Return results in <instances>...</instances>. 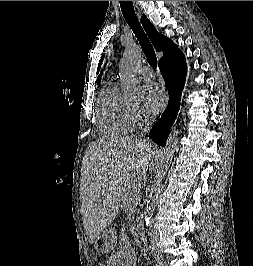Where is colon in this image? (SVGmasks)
<instances>
[{
	"label": "colon",
	"instance_id": "5ec220e1",
	"mask_svg": "<svg viewBox=\"0 0 253 266\" xmlns=\"http://www.w3.org/2000/svg\"><path fill=\"white\" fill-rule=\"evenodd\" d=\"M98 266H108V265H107V263H105V262H103V261H100V262L98 263Z\"/></svg>",
	"mask_w": 253,
	"mask_h": 266
}]
</instances>
